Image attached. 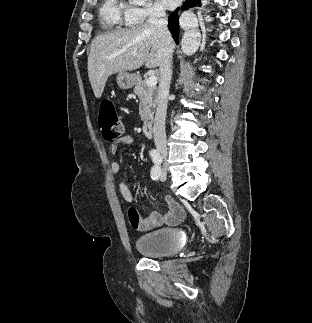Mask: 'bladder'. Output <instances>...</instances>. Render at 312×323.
Returning <instances> with one entry per match:
<instances>
[{
	"label": "bladder",
	"mask_w": 312,
	"mask_h": 323,
	"mask_svg": "<svg viewBox=\"0 0 312 323\" xmlns=\"http://www.w3.org/2000/svg\"><path fill=\"white\" fill-rule=\"evenodd\" d=\"M136 248L142 257H171L178 252V232L173 229H160L136 238Z\"/></svg>",
	"instance_id": "obj_1"
}]
</instances>
